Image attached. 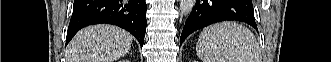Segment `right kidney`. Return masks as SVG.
Returning <instances> with one entry per match:
<instances>
[{"label": "right kidney", "instance_id": "1", "mask_svg": "<svg viewBox=\"0 0 331 62\" xmlns=\"http://www.w3.org/2000/svg\"><path fill=\"white\" fill-rule=\"evenodd\" d=\"M123 62H129V60H123Z\"/></svg>", "mask_w": 331, "mask_h": 62}]
</instances>
